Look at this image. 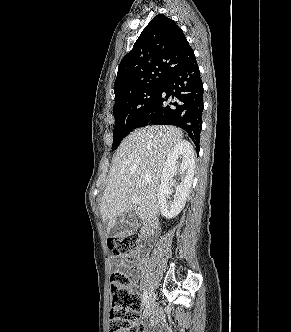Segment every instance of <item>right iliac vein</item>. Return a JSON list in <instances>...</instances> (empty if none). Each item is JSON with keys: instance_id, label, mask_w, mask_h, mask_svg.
<instances>
[{"instance_id": "63e3f726", "label": "right iliac vein", "mask_w": 291, "mask_h": 332, "mask_svg": "<svg viewBox=\"0 0 291 332\" xmlns=\"http://www.w3.org/2000/svg\"><path fill=\"white\" fill-rule=\"evenodd\" d=\"M154 306H155V295L153 293H151L149 296V299H148V304L144 311V316H148L151 313V311L153 310Z\"/></svg>"}]
</instances>
